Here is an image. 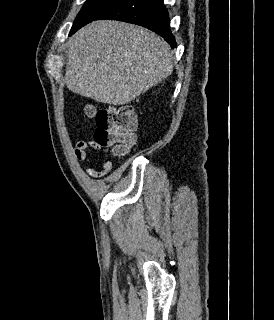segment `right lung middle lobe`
Segmentation results:
<instances>
[{"mask_svg":"<svg viewBox=\"0 0 274 320\" xmlns=\"http://www.w3.org/2000/svg\"><path fill=\"white\" fill-rule=\"evenodd\" d=\"M121 1L122 0H87L78 13L71 28V32H74L82 26L92 22L101 14L113 8Z\"/></svg>","mask_w":274,"mask_h":320,"instance_id":"1","label":"right lung middle lobe"}]
</instances>
